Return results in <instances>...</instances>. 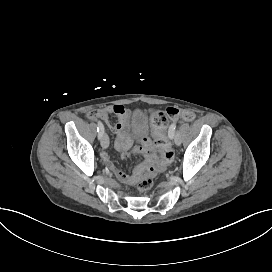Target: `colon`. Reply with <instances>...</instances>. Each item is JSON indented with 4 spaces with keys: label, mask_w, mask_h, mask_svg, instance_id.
Segmentation results:
<instances>
[{
    "label": "colon",
    "mask_w": 272,
    "mask_h": 272,
    "mask_svg": "<svg viewBox=\"0 0 272 272\" xmlns=\"http://www.w3.org/2000/svg\"><path fill=\"white\" fill-rule=\"evenodd\" d=\"M104 114L105 110H101ZM96 117V113L91 111L87 118L93 120ZM145 117L147 121L151 122L153 130V139L156 141L161 154L160 163L156 165H148L145 169V174L141 176V181H136V187L142 192H149L151 190V184L154 181L160 179L162 173L167 169V165L171 162V157L174 154L173 145L174 140L172 138L171 130L168 128L169 119L171 121H176L179 118L185 121H193L196 118V113L194 111H182L175 106H169L165 109H160L156 106H151L147 108L145 112ZM118 178H123L125 174L118 171L116 173Z\"/></svg>",
    "instance_id": "obj_1"
}]
</instances>
